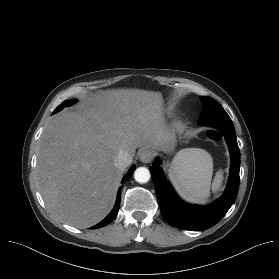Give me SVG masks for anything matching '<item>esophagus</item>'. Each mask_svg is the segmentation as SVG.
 I'll return each instance as SVG.
<instances>
[{
    "label": "esophagus",
    "mask_w": 279,
    "mask_h": 279,
    "mask_svg": "<svg viewBox=\"0 0 279 279\" xmlns=\"http://www.w3.org/2000/svg\"><path fill=\"white\" fill-rule=\"evenodd\" d=\"M139 159L143 163H149L153 159V151L151 149H143L139 154Z\"/></svg>",
    "instance_id": "1"
}]
</instances>
